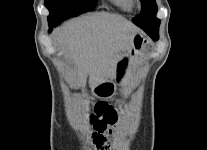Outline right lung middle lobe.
<instances>
[{
    "instance_id": "1",
    "label": "right lung middle lobe",
    "mask_w": 207,
    "mask_h": 150,
    "mask_svg": "<svg viewBox=\"0 0 207 150\" xmlns=\"http://www.w3.org/2000/svg\"><path fill=\"white\" fill-rule=\"evenodd\" d=\"M50 15L49 23L60 24L69 17H75L92 10L96 0H45Z\"/></svg>"
}]
</instances>
